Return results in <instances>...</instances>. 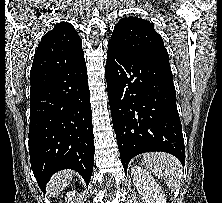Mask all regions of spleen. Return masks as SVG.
Returning <instances> with one entry per match:
<instances>
[{
  "label": "spleen",
  "mask_w": 222,
  "mask_h": 203,
  "mask_svg": "<svg viewBox=\"0 0 222 203\" xmlns=\"http://www.w3.org/2000/svg\"><path fill=\"white\" fill-rule=\"evenodd\" d=\"M142 164L156 177L165 180L172 191L180 187L183 168L180 161L164 152H150L143 155Z\"/></svg>",
  "instance_id": "spleen-1"
}]
</instances>
